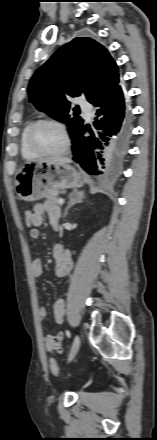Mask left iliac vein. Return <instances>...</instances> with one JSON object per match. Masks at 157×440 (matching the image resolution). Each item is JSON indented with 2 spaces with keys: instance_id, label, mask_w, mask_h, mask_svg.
<instances>
[{
  "instance_id": "obj_1",
  "label": "left iliac vein",
  "mask_w": 157,
  "mask_h": 440,
  "mask_svg": "<svg viewBox=\"0 0 157 440\" xmlns=\"http://www.w3.org/2000/svg\"><path fill=\"white\" fill-rule=\"evenodd\" d=\"M80 344H81L80 338L78 335H76L74 338V341H73L70 355H69V361H71L75 357V355L77 354V352L80 348Z\"/></svg>"
}]
</instances>
